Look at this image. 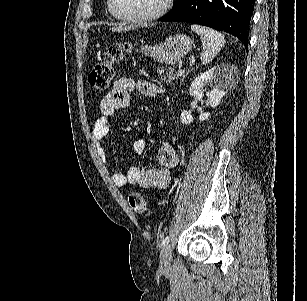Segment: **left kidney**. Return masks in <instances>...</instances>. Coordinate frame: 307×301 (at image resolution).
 <instances>
[{
  "label": "left kidney",
  "mask_w": 307,
  "mask_h": 301,
  "mask_svg": "<svg viewBox=\"0 0 307 301\" xmlns=\"http://www.w3.org/2000/svg\"><path fill=\"white\" fill-rule=\"evenodd\" d=\"M237 78L238 70L234 64H230V62L216 64V66H213L210 70L201 72L199 76L194 78L189 92L191 96H203V94H206L210 106L216 108V106L220 104L224 94H226L228 90H231L232 86L236 84ZM207 86H210V88H207ZM210 114L211 112H201V114H199L200 122H202V120H207ZM180 120L183 124H190V122H193L194 118L189 110H182Z\"/></svg>",
  "instance_id": "obj_1"
}]
</instances>
